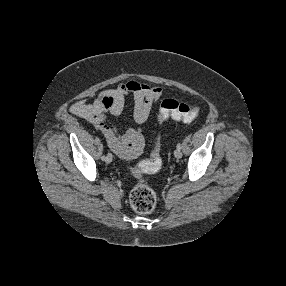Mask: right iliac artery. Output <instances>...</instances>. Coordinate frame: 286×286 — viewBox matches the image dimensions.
Segmentation results:
<instances>
[{
  "instance_id": "1",
  "label": "right iliac artery",
  "mask_w": 286,
  "mask_h": 286,
  "mask_svg": "<svg viewBox=\"0 0 286 286\" xmlns=\"http://www.w3.org/2000/svg\"><path fill=\"white\" fill-rule=\"evenodd\" d=\"M102 160H105L106 159V157H105V155L104 156H102V158H101Z\"/></svg>"
}]
</instances>
